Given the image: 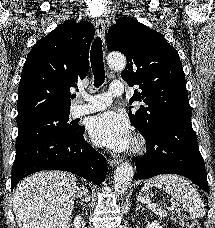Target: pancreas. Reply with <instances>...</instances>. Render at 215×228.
Segmentation results:
<instances>
[{"mask_svg":"<svg viewBox=\"0 0 215 228\" xmlns=\"http://www.w3.org/2000/svg\"><path fill=\"white\" fill-rule=\"evenodd\" d=\"M154 214L156 216H160V218H166V210H163V208H156V210H153Z\"/></svg>","mask_w":215,"mask_h":228,"instance_id":"1","label":"pancreas"}]
</instances>
